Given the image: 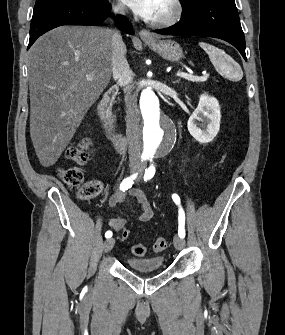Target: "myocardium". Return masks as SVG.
<instances>
[{
	"instance_id": "1",
	"label": "myocardium",
	"mask_w": 285,
	"mask_h": 335,
	"mask_svg": "<svg viewBox=\"0 0 285 335\" xmlns=\"http://www.w3.org/2000/svg\"><path fill=\"white\" fill-rule=\"evenodd\" d=\"M183 13L181 1H166V13L154 21L155 27L163 28L177 22Z\"/></svg>"
}]
</instances>
